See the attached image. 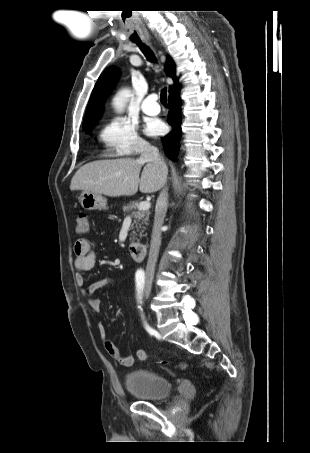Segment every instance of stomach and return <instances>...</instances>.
Instances as JSON below:
<instances>
[{
    "mask_svg": "<svg viewBox=\"0 0 310 453\" xmlns=\"http://www.w3.org/2000/svg\"><path fill=\"white\" fill-rule=\"evenodd\" d=\"M80 203L84 210H105L107 206L106 199L101 195L93 192H82Z\"/></svg>",
    "mask_w": 310,
    "mask_h": 453,
    "instance_id": "stomach-1",
    "label": "stomach"
}]
</instances>
